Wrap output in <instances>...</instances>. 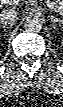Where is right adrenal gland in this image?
Here are the masks:
<instances>
[{
  "label": "right adrenal gland",
  "mask_w": 63,
  "mask_h": 107,
  "mask_svg": "<svg viewBox=\"0 0 63 107\" xmlns=\"http://www.w3.org/2000/svg\"><path fill=\"white\" fill-rule=\"evenodd\" d=\"M10 27H8V26H0V29H4V30H7V29H9Z\"/></svg>",
  "instance_id": "right-adrenal-gland-1"
}]
</instances>
